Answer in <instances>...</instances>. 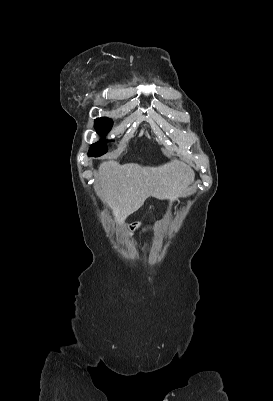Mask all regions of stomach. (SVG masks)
<instances>
[{"label": "stomach", "instance_id": "stomach-1", "mask_svg": "<svg viewBox=\"0 0 273 401\" xmlns=\"http://www.w3.org/2000/svg\"><path fill=\"white\" fill-rule=\"evenodd\" d=\"M160 227H161V221H157V223H155L153 227L155 233H158V231H160Z\"/></svg>", "mask_w": 273, "mask_h": 401}]
</instances>
